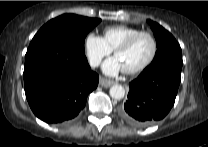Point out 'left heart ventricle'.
Listing matches in <instances>:
<instances>
[{
  "instance_id": "b2bd125f",
  "label": "left heart ventricle",
  "mask_w": 208,
  "mask_h": 147,
  "mask_svg": "<svg viewBox=\"0 0 208 147\" xmlns=\"http://www.w3.org/2000/svg\"><path fill=\"white\" fill-rule=\"evenodd\" d=\"M153 45L148 36L139 37L132 46L117 53L115 56L123 69H132L145 62L152 53Z\"/></svg>"
}]
</instances>
